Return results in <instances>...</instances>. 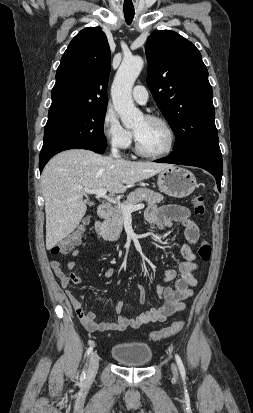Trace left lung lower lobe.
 Returning a JSON list of instances; mask_svg holds the SVG:
<instances>
[{"instance_id": "0a47b994", "label": "left lung lower lobe", "mask_w": 253, "mask_h": 413, "mask_svg": "<svg viewBox=\"0 0 253 413\" xmlns=\"http://www.w3.org/2000/svg\"><path fill=\"white\" fill-rule=\"evenodd\" d=\"M160 163H172L179 165L196 166L210 172L216 179L218 189L221 190L222 155L216 153H194L187 155H170L156 160Z\"/></svg>"}]
</instances>
